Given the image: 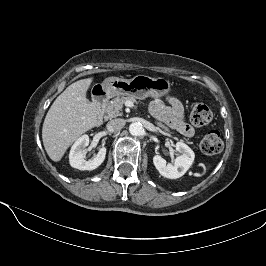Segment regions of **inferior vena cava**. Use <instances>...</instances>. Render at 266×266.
<instances>
[{"label": "inferior vena cava", "instance_id": "obj_1", "mask_svg": "<svg viewBox=\"0 0 266 266\" xmlns=\"http://www.w3.org/2000/svg\"><path fill=\"white\" fill-rule=\"evenodd\" d=\"M125 120L116 118L108 122L107 129L109 132H117L125 126Z\"/></svg>", "mask_w": 266, "mask_h": 266}]
</instances>
